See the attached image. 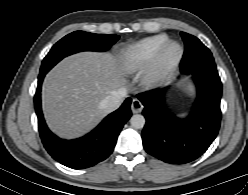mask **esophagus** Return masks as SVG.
<instances>
[{
	"instance_id": "obj_1",
	"label": "esophagus",
	"mask_w": 248,
	"mask_h": 195,
	"mask_svg": "<svg viewBox=\"0 0 248 195\" xmlns=\"http://www.w3.org/2000/svg\"><path fill=\"white\" fill-rule=\"evenodd\" d=\"M143 109V104L137 98H134L131 103V110L133 113H140Z\"/></svg>"
}]
</instances>
